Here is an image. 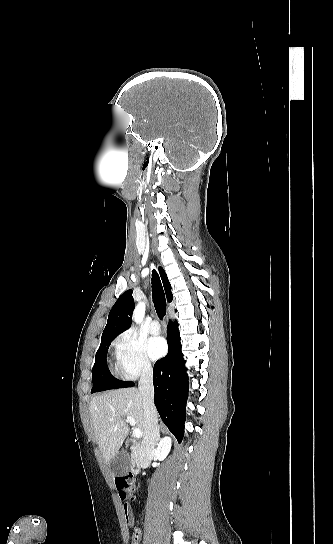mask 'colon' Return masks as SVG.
<instances>
[{
    "instance_id": "5ec220e1",
    "label": "colon",
    "mask_w": 333,
    "mask_h": 544,
    "mask_svg": "<svg viewBox=\"0 0 333 544\" xmlns=\"http://www.w3.org/2000/svg\"><path fill=\"white\" fill-rule=\"evenodd\" d=\"M116 485L120 492V497L125 503L134 499L135 480L132 475L117 478ZM139 539L140 534L136 531L132 539V544H139Z\"/></svg>"
}]
</instances>
